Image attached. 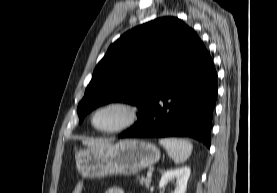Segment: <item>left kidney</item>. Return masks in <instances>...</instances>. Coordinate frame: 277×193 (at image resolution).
Listing matches in <instances>:
<instances>
[{
    "instance_id": "obj_1",
    "label": "left kidney",
    "mask_w": 277,
    "mask_h": 193,
    "mask_svg": "<svg viewBox=\"0 0 277 193\" xmlns=\"http://www.w3.org/2000/svg\"><path fill=\"white\" fill-rule=\"evenodd\" d=\"M191 169L188 166L172 169L164 172L162 175L159 186L165 187L168 182L177 179L176 187L173 193H185L187 188V182L190 177Z\"/></svg>"
}]
</instances>
